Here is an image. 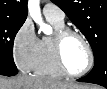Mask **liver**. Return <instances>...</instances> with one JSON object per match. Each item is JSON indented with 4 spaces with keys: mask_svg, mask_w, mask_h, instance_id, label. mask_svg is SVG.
<instances>
[{
    "mask_svg": "<svg viewBox=\"0 0 107 89\" xmlns=\"http://www.w3.org/2000/svg\"><path fill=\"white\" fill-rule=\"evenodd\" d=\"M69 87L91 89L89 86L66 83L41 76L19 75L13 78H0V89H68Z\"/></svg>",
    "mask_w": 107,
    "mask_h": 89,
    "instance_id": "obj_1",
    "label": "liver"
}]
</instances>
